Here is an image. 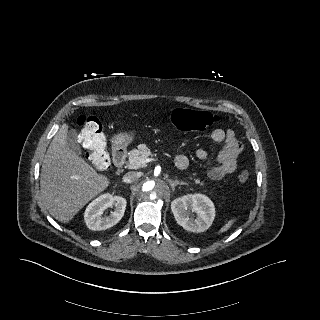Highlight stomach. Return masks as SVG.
Returning <instances> with one entry per match:
<instances>
[{
    "label": "stomach",
    "mask_w": 320,
    "mask_h": 320,
    "mask_svg": "<svg viewBox=\"0 0 320 320\" xmlns=\"http://www.w3.org/2000/svg\"><path fill=\"white\" fill-rule=\"evenodd\" d=\"M134 139L133 132H120L114 137V144L117 148L126 147Z\"/></svg>",
    "instance_id": "obj_1"
}]
</instances>
